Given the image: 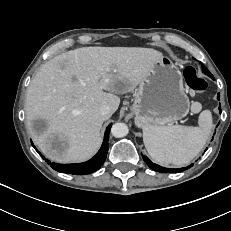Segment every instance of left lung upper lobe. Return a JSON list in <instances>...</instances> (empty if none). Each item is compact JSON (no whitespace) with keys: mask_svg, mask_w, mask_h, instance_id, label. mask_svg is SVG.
<instances>
[{"mask_svg":"<svg viewBox=\"0 0 231 231\" xmlns=\"http://www.w3.org/2000/svg\"><path fill=\"white\" fill-rule=\"evenodd\" d=\"M202 68H203V71L205 72V74H207L209 77H213L212 74L208 71V69L206 67H204V65L202 64Z\"/></svg>","mask_w":231,"mask_h":231,"instance_id":"obj_1","label":"left lung upper lobe"}]
</instances>
